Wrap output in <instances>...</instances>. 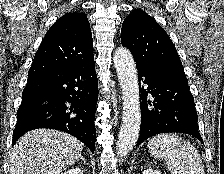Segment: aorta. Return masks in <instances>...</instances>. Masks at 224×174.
<instances>
[{
  "label": "aorta",
  "instance_id": "obj_1",
  "mask_svg": "<svg viewBox=\"0 0 224 174\" xmlns=\"http://www.w3.org/2000/svg\"><path fill=\"white\" fill-rule=\"evenodd\" d=\"M113 60L123 95V115L117 153L120 157H126L136 144L140 132L138 75L133 56L128 49L117 48Z\"/></svg>",
  "mask_w": 224,
  "mask_h": 174
}]
</instances>
